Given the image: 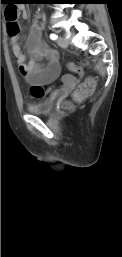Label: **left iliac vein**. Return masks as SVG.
<instances>
[{
	"instance_id": "1",
	"label": "left iliac vein",
	"mask_w": 122,
	"mask_h": 257,
	"mask_svg": "<svg viewBox=\"0 0 122 257\" xmlns=\"http://www.w3.org/2000/svg\"><path fill=\"white\" fill-rule=\"evenodd\" d=\"M57 44L61 47V48H66L68 47V41L66 40V38L64 36H60L57 39Z\"/></svg>"
}]
</instances>
